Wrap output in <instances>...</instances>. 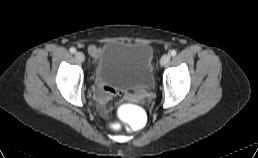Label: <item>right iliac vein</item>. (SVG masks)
I'll list each match as a JSON object with an SVG mask.
<instances>
[{
	"label": "right iliac vein",
	"instance_id": "1",
	"mask_svg": "<svg viewBox=\"0 0 258 158\" xmlns=\"http://www.w3.org/2000/svg\"><path fill=\"white\" fill-rule=\"evenodd\" d=\"M75 58L79 61V62H83L85 60V56L82 52H76L75 53Z\"/></svg>",
	"mask_w": 258,
	"mask_h": 158
}]
</instances>
